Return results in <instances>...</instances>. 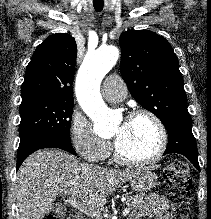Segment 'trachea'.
<instances>
[{"instance_id":"1","label":"trachea","mask_w":211,"mask_h":219,"mask_svg":"<svg viewBox=\"0 0 211 219\" xmlns=\"http://www.w3.org/2000/svg\"><path fill=\"white\" fill-rule=\"evenodd\" d=\"M94 9H95L97 12H101L102 9H103V6H94Z\"/></svg>"}]
</instances>
